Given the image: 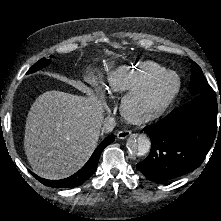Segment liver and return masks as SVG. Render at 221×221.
<instances>
[{"label":"liver","instance_id":"1","mask_svg":"<svg viewBox=\"0 0 221 221\" xmlns=\"http://www.w3.org/2000/svg\"><path fill=\"white\" fill-rule=\"evenodd\" d=\"M102 123V105L94 95L41 94L25 125L24 148L33 172L49 180L77 172L95 150Z\"/></svg>","mask_w":221,"mask_h":221}]
</instances>
